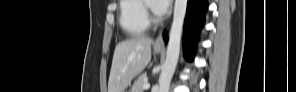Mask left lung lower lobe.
<instances>
[{
	"mask_svg": "<svg viewBox=\"0 0 296 92\" xmlns=\"http://www.w3.org/2000/svg\"><path fill=\"white\" fill-rule=\"evenodd\" d=\"M207 0H188L184 23V54L187 60H192L198 40L199 31L204 23ZM167 32H164L166 39Z\"/></svg>",
	"mask_w": 296,
	"mask_h": 92,
	"instance_id": "1",
	"label": "left lung lower lobe"
}]
</instances>
